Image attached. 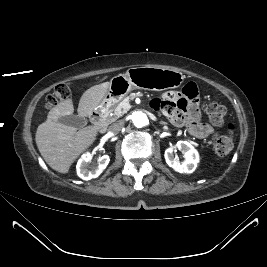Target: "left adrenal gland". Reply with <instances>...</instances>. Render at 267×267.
<instances>
[{
  "instance_id": "left-adrenal-gland-1",
  "label": "left adrenal gland",
  "mask_w": 267,
  "mask_h": 267,
  "mask_svg": "<svg viewBox=\"0 0 267 267\" xmlns=\"http://www.w3.org/2000/svg\"><path fill=\"white\" fill-rule=\"evenodd\" d=\"M160 124H165V122H160Z\"/></svg>"
}]
</instances>
